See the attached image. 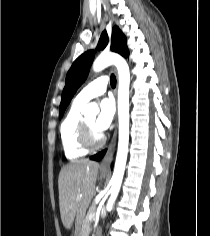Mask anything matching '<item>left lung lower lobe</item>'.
I'll return each mask as SVG.
<instances>
[{
    "mask_svg": "<svg viewBox=\"0 0 210 236\" xmlns=\"http://www.w3.org/2000/svg\"><path fill=\"white\" fill-rule=\"evenodd\" d=\"M106 153V150L94 155L91 157L92 160H96V161H99L103 158L104 154Z\"/></svg>",
    "mask_w": 210,
    "mask_h": 236,
    "instance_id": "1",
    "label": "left lung lower lobe"
}]
</instances>
